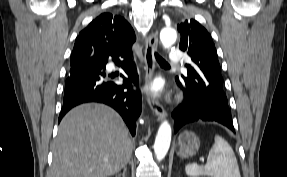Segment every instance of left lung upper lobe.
Here are the masks:
<instances>
[{"label":"left lung upper lobe","instance_id":"5c2ea615","mask_svg":"<svg viewBox=\"0 0 287 177\" xmlns=\"http://www.w3.org/2000/svg\"><path fill=\"white\" fill-rule=\"evenodd\" d=\"M177 28L181 33L179 49L193 61L187 65L188 75L182 76L184 83L203 95L210 96L211 88L223 91L221 68L211 35L194 19L182 21Z\"/></svg>","mask_w":287,"mask_h":177}]
</instances>
